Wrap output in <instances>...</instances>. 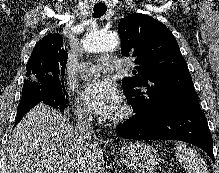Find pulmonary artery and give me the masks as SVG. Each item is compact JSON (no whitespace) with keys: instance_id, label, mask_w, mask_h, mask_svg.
<instances>
[{"instance_id":"1","label":"pulmonary artery","mask_w":219,"mask_h":173,"mask_svg":"<svg viewBox=\"0 0 219 173\" xmlns=\"http://www.w3.org/2000/svg\"><path fill=\"white\" fill-rule=\"evenodd\" d=\"M121 65V60L116 56H103L96 63L86 61L80 64L78 75L83 79H91L95 78L100 72L116 71Z\"/></svg>"}]
</instances>
